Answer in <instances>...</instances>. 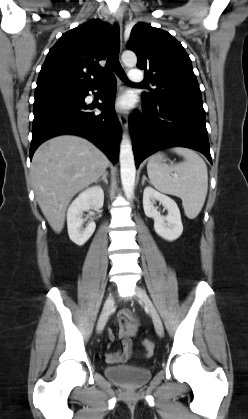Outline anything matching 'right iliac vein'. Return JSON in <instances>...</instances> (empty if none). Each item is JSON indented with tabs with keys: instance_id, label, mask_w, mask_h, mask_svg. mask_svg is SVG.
<instances>
[{
	"instance_id": "1",
	"label": "right iliac vein",
	"mask_w": 248,
	"mask_h": 419,
	"mask_svg": "<svg viewBox=\"0 0 248 419\" xmlns=\"http://www.w3.org/2000/svg\"><path fill=\"white\" fill-rule=\"evenodd\" d=\"M114 305V298L113 295H109L104 303V307L102 310V313L99 317L98 323H97V333H101L106 325L107 319L109 317V314L111 313V310Z\"/></svg>"
}]
</instances>
